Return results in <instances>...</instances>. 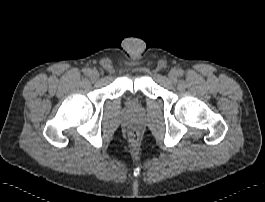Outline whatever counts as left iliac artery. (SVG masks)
<instances>
[{
	"label": "left iliac artery",
	"instance_id": "1",
	"mask_svg": "<svg viewBox=\"0 0 265 202\" xmlns=\"http://www.w3.org/2000/svg\"><path fill=\"white\" fill-rule=\"evenodd\" d=\"M177 74H178L179 76H183L184 71H183L182 69H178V70H177Z\"/></svg>",
	"mask_w": 265,
	"mask_h": 202
}]
</instances>
